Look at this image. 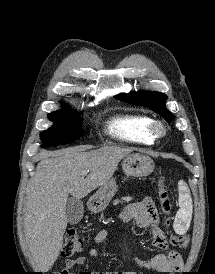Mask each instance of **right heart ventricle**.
<instances>
[{
  "label": "right heart ventricle",
  "instance_id": "1",
  "mask_svg": "<svg viewBox=\"0 0 215 274\" xmlns=\"http://www.w3.org/2000/svg\"><path fill=\"white\" fill-rule=\"evenodd\" d=\"M151 123L152 119L146 115L122 113L107 121L105 131L119 141L150 145L155 140L150 132Z\"/></svg>",
  "mask_w": 215,
  "mask_h": 274
}]
</instances>
